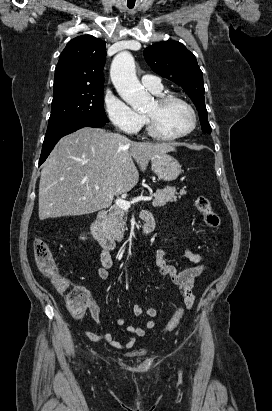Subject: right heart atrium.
<instances>
[{
	"instance_id": "d8ad5b80",
	"label": "right heart atrium",
	"mask_w": 272,
	"mask_h": 411,
	"mask_svg": "<svg viewBox=\"0 0 272 411\" xmlns=\"http://www.w3.org/2000/svg\"><path fill=\"white\" fill-rule=\"evenodd\" d=\"M104 106L111 123L126 133H136L144 123L143 116L133 110L113 91L105 93Z\"/></svg>"
}]
</instances>
